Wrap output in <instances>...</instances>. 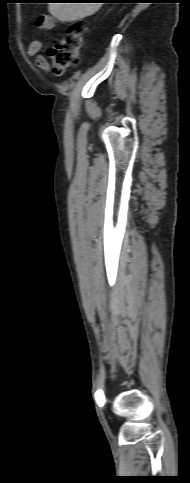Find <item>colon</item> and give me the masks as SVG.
I'll list each match as a JSON object with an SVG mask.
<instances>
[{
	"label": "colon",
	"mask_w": 190,
	"mask_h": 483,
	"mask_svg": "<svg viewBox=\"0 0 190 483\" xmlns=\"http://www.w3.org/2000/svg\"><path fill=\"white\" fill-rule=\"evenodd\" d=\"M86 34L84 21H75L70 24L61 42L48 51L51 61V71L63 75L70 67L79 62V53Z\"/></svg>",
	"instance_id": "1"
}]
</instances>
